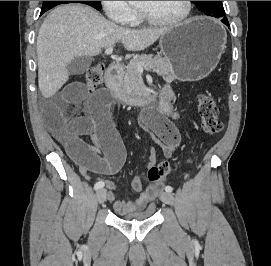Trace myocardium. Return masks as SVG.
Instances as JSON below:
<instances>
[{
	"label": "myocardium",
	"mask_w": 271,
	"mask_h": 266,
	"mask_svg": "<svg viewBox=\"0 0 271 266\" xmlns=\"http://www.w3.org/2000/svg\"><path fill=\"white\" fill-rule=\"evenodd\" d=\"M184 4H185L184 13L175 19H164V20L157 19L153 15H151L148 11L140 7L139 12L142 19L150 24L158 26H177L187 21L192 13V1H184Z\"/></svg>",
	"instance_id": "myocardium-1"
}]
</instances>
